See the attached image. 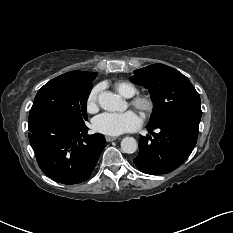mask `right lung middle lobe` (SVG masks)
I'll use <instances>...</instances> for the list:
<instances>
[{"instance_id":"1","label":"right lung middle lobe","mask_w":233,"mask_h":233,"mask_svg":"<svg viewBox=\"0 0 233 233\" xmlns=\"http://www.w3.org/2000/svg\"><path fill=\"white\" fill-rule=\"evenodd\" d=\"M97 73H65L47 82L38 91L29 121L40 116H60L74 122L87 120L86 104Z\"/></svg>"}]
</instances>
